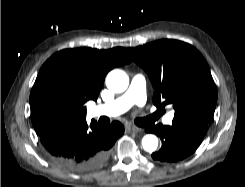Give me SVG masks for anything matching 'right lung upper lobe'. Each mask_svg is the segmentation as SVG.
<instances>
[{
	"mask_svg": "<svg viewBox=\"0 0 245 187\" xmlns=\"http://www.w3.org/2000/svg\"><path fill=\"white\" fill-rule=\"evenodd\" d=\"M129 62L131 60L122 47L110 50L65 49L53 54L41 67L33 88L55 80L72 94L73 100L69 112L62 117L49 115L30 100L31 120L36 133L40 135L56 124L85 119V103L97 100L106 74Z\"/></svg>",
	"mask_w": 245,
	"mask_h": 187,
	"instance_id": "right-lung-upper-lobe-1",
	"label": "right lung upper lobe"
}]
</instances>
